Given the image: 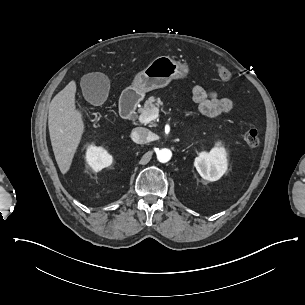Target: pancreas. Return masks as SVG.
I'll return each instance as SVG.
<instances>
[{
    "label": "pancreas",
    "mask_w": 305,
    "mask_h": 305,
    "mask_svg": "<svg viewBox=\"0 0 305 305\" xmlns=\"http://www.w3.org/2000/svg\"><path fill=\"white\" fill-rule=\"evenodd\" d=\"M163 105V102L160 100V98H155L154 96H151L148 98V100L145 101L144 106L138 109L139 113L148 112L150 114V111L154 107H160ZM152 126H156L155 123L152 124Z\"/></svg>",
    "instance_id": "pancreas-1"
}]
</instances>
